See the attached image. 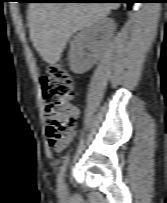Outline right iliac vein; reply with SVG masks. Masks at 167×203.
I'll return each mask as SVG.
<instances>
[{"label":"right iliac vein","instance_id":"1","mask_svg":"<svg viewBox=\"0 0 167 203\" xmlns=\"http://www.w3.org/2000/svg\"><path fill=\"white\" fill-rule=\"evenodd\" d=\"M66 192H67L66 185L63 184V185H62V188H61V195H62V196H65V195H66Z\"/></svg>","mask_w":167,"mask_h":203}]
</instances>
